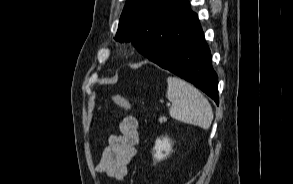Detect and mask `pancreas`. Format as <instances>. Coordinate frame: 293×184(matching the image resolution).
Instances as JSON below:
<instances>
[{
    "mask_svg": "<svg viewBox=\"0 0 293 184\" xmlns=\"http://www.w3.org/2000/svg\"><path fill=\"white\" fill-rule=\"evenodd\" d=\"M166 120H167L166 117H160V118H159V122H160V123H163V122H165Z\"/></svg>",
    "mask_w": 293,
    "mask_h": 184,
    "instance_id": "1",
    "label": "pancreas"
}]
</instances>
